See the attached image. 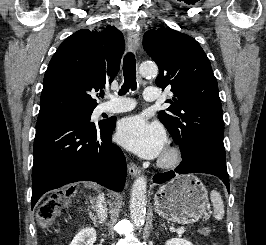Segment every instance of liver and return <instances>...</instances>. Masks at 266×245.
I'll use <instances>...</instances> for the list:
<instances>
[{
  "mask_svg": "<svg viewBox=\"0 0 266 245\" xmlns=\"http://www.w3.org/2000/svg\"><path fill=\"white\" fill-rule=\"evenodd\" d=\"M91 185H93V187H95L94 183H91Z\"/></svg>",
  "mask_w": 266,
  "mask_h": 245,
  "instance_id": "6515ba94",
  "label": "liver"
}]
</instances>
